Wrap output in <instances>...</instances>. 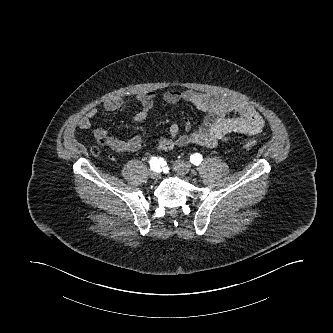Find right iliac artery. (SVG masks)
I'll return each mask as SVG.
<instances>
[{"instance_id": "obj_1", "label": "right iliac artery", "mask_w": 333, "mask_h": 333, "mask_svg": "<svg viewBox=\"0 0 333 333\" xmlns=\"http://www.w3.org/2000/svg\"><path fill=\"white\" fill-rule=\"evenodd\" d=\"M149 163L153 171H160V165L164 163V161L162 158L151 157Z\"/></svg>"}]
</instances>
